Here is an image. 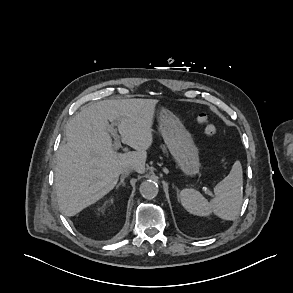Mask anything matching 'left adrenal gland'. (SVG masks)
<instances>
[{
	"label": "left adrenal gland",
	"instance_id": "1",
	"mask_svg": "<svg viewBox=\"0 0 293 293\" xmlns=\"http://www.w3.org/2000/svg\"><path fill=\"white\" fill-rule=\"evenodd\" d=\"M176 190H177V195L179 196V190H178V188H176ZM178 199H179V197H178Z\"/></svg>",
	"mask_w": 293,
	"mask_h": 293
}]
</instances>
